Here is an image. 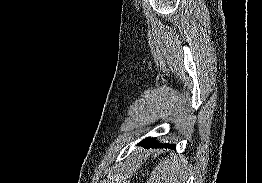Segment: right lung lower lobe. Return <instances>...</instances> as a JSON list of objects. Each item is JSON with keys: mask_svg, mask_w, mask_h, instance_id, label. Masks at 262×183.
Returning <instances> with one entry per match:
<instances>
[{"mask_svg": "<svg viewBox=\"0 0 262 183\" xmlns=\"http://www.w3.org/2000/svg\"><path fill=\"white\" fill-rule=\"evenodd\" d=\"M142 144L146 147H165V148H174V144H160L154 140V138H147L142 141Z\"/></svg>", "mask_w": 262, "mask_h": 183, "instance_id": "right-lung-lower-lobe-1", "label": "right lung lower lobe"}]
</instances>
